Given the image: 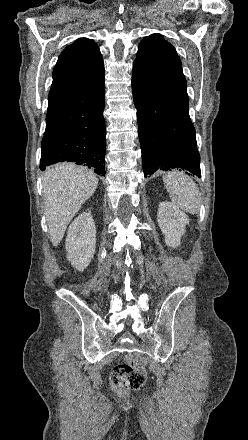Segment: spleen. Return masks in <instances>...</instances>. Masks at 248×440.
Listing matches in <instances>:
<instances>
[{"instance_id":"1","label":"spleen","mask_w":248,"mask_h":440,"mask_svg":"<svg viewBox=\"0 0 248 440\" xmlns=\"http://www.w3.org/2000/svg\"><path fill=\"white\" fill-rule=\"evenodd\" d=\"M164 185L171 201L180 209L197 214L200 209V191L195 182L179 171H172L163 176Z\"/></svg>"}]
</instances>
